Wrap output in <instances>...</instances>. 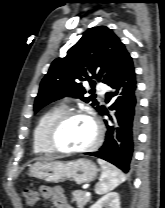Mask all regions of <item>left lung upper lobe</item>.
<instances>
[{"label":"left lung upper lobe","mask_w":165,"mask_h":208,"mask_svg":"<svg viewBox=\"0 0 165 208\" xmlns=\"http://www.w3.org/2000/svg\"><path fill=\"white\" fill-rule=\"evenodd\" d=\"M128 55L111 29L106 26L89 29L66 56L53 61L41 81L34 111L64 96L92 102L91 106L99 111V103L93 97H83L86 90L82 82H90L91 87L95 85L92 79L107 84Z\"/></svg>","instance_id":"1"}]
</instances>
